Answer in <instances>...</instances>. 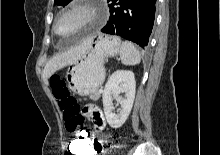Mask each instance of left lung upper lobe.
Wrapping results in <instances>:
<instances>
[{"label": "left lung upper lobe", "mask_w": 220, "mask_h": 155, "mask_svg": "<svg viewBox=\"0 0 220 155\" xmlns=\"http://www.w3.org/2000/svg\"><path fill=\"white\" fill-rule=\"evenodd\" d=\"M71 0H55V3L57 5L65 6L67 5Z\"/></svg>", "instance_id": "left-lung-upper-lobe-1"}]
</instances>
